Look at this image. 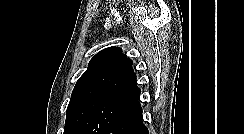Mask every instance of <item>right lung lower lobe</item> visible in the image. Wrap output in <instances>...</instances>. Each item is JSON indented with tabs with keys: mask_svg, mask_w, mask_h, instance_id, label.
Returning <instances> with one entry per match:
<instances>
[{
	"mask_svg": "<svg viewBox=\"0 0 244 134\" xmlns=\"http://www.w3.org/2000/svg\"><path fill=\"white\" fill-rule=\"evenodd\" d=\"M104 134H149L142 121L139 99L135 100Z\"/></svg>",
	"mask_w": 244,
	"mask_h": 134,
	"instance_id": "98d812e1",
	"label": "right lung lower lobe"
}]
</instances>
